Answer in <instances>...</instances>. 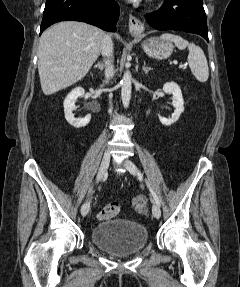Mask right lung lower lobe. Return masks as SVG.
Masks as SVG:
<instances>
[{"label": "right lung lower lobe", "instance_id": "98d812e1", "mask_svg": "<svg viewBox=\"0 0 240 287\" xmlns=\"http://www.w3.org/2000/svg\"><path fill=\"white\" fill-rule=\"evenodd\" d=\"M119 6L114 0H46L40 34L66 20L82 21L106 31H116Z\"/></svg>", "mask_w": 240, "mask_h": 287}]
</instances>
